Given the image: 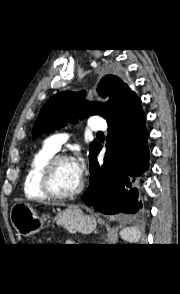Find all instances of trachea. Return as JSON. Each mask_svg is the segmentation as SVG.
I'll return each mask as SVG.
<instances>
[{
  "label": "trachea",
  "instance_id": "trachea-1",
  "mask_svg": "<svg viewBox=\"0 0 180 294\" xmlns=\"http://www.w3.org/2000/svg\"><path fill=\"white\" fill-rule=\"evenodd\" d=\"M97 135H103V133L102 132H98Z\"/></svg>",
  "mask_w": 180,
  "mask_h": 294
}]
</instances>
